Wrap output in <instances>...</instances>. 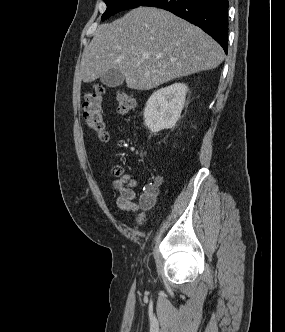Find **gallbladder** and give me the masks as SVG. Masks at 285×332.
I'll list each match as a JSON object with an SVG mask.
<instances>
[{
	"mask_svg": "<svg viewBox=\"0 0 285 332\" xmlns=\"http://www.w3.org/2000/svg\"><path fill=\"white\" fill-rule=\"evenodd\" d=\"M100 80L104 85L115 88L123 84L125 77L118 70L111 69L107 71Z\"/></svg>",
	"mask_w": 285,
	"mask_h": 332,
	"instance_id": "1",
	"label": "gallbladder"
}]
</instances>
